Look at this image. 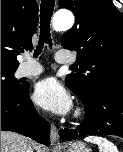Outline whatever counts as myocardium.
Listing matches in <instances>:
<instances>
[{"mask_svg":"<svg viewBox=\"0 0 123 152\" xmlns=\"http://www.w3.org/2000/svg\"><path fill=\"white\" fill-rule=\"evenodd\" d=\"M84 116V110L81 107H78L75 111L74 118L76 120L81 119Z\"/></svg>","mask_w":123,"mask_h":152,"instance_id":"f54148a6","label":"myocardium"}]
</instances>
